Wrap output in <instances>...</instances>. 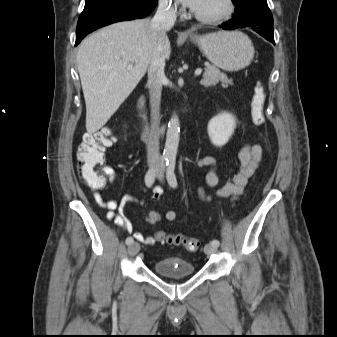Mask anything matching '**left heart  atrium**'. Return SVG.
<instances>
[{"label":"left heart atrium","mask_w":337,"mask_h":337,"mask_svg":"<svg viewBox=\"0 0 337 337\" xmlns=\"http://www.w3.org/2000/svg\"><path fill=\"white\" fill-rule=\"evenodd\" d=\"M184 5L192 8L197 9L199 5L201 4L202 0H180Z\"/></svg>","instance_id":"1"}]
</instances>
